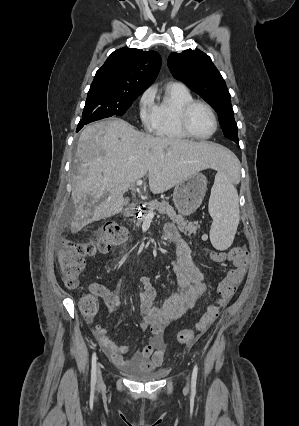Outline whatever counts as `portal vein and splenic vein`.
Listing matches in <instances>:
<instances>
[{
	"label": "portal vein and splenic vein",
	"instance_id": "1",
	"mask_svg": "<svg viewBox=\"0 0 299 426\" xmlns=\"http://www.w3.org/2000/svg\"><path fill=\"white\" fill-rule=\"evenodd\" d=\"M142 184H143V181L141 179L136 181L137 186H141ZM151 214H153V212H151Z\"/></svg>",
	"mask_w": 299,
	"mask_h": 426
}]
</instances>
